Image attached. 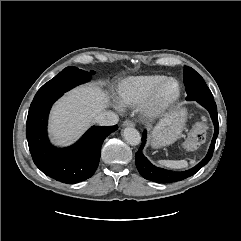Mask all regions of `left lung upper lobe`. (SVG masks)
Returning <instances> with one entry per match:
<instances>
[{"label":"left lung upper lobe","instance_id":"5c2ea615","mask_svg":"<svg viewBox=\"0 0 241 241\" xmlns=\"http://www.w3.org/2000/svg\"><path fill=\"white\" fill-rule=\"evenodd\" d=\"M183 78L186 86L187 100H195V98H213L203 78L194 69L185 66Z\"/></svg>","mask_w":241,"mask_h":241}]
</instances>
